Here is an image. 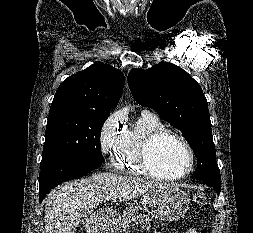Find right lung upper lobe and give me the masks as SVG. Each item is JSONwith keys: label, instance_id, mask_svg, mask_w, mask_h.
<instances>
[{"label": "right lung upper lobe", "instance_id": "1", "mask_svg": "<svg viewBox=\"0 0 253 233\" xmlns=\"http://www.w3.org/2000/svg\"><path fill=\"white\" fill-rule=\"evenodd\" d=\"M124 75L98 62L68 77L56 91L51 108L71 107L110 113L122 96Z\"/></svg>", "mask_w": 253, "mask_h": 233}]
</instances>
